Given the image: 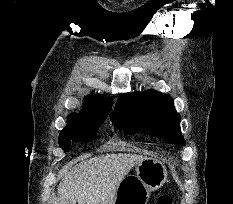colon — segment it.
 <instances>
[{"label": "colon", "instance_id": "1", "mask_svg": "<svg viewBox=\"0 0 233 204\" xmlns=\"http://www.w3.org/2000/svg\"><path fill=\"white\" fill-rule=\"evenodd\" d=\"M156 204H172V200L169 196L167 195H162L158 198Z\"/></svg>", "mask_w": 233, "mask_h": 204}]
</instances>
